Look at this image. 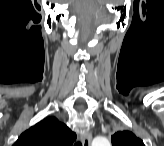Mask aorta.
I'll list each match as a JSON object with an SVG mask.
<instances>
[{"label":"aorta","instance_id":"aorta-1","mask_svg":"<svg viewBox=\"0 0 164 146\" xmlns=\"http://www.w3.org/2000/svg\"><path fill=\"white\" fill-rule=\"evenodd\" d=\"M110 141L105 137H96L92 141V146H110Z\"/></svg>","mask_w":164,"mask_h":146}]
</instances>
